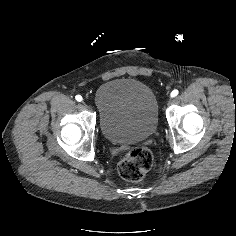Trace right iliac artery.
<instances>
[{
	"label": "right iliac artery",
	"instance_id": "right-iliac-artery-1",
	"mask_svg": "<svg viewBox=\"0 0 236 236\" xmlns=\"http://www.w3.org/2000/svg\"><path fill=\"white\" fill-rule=\"evenodd\" d=\"M75 99L78 101V102H81L83 100L82 96L81 95H76Z\"/></svg>",
	"mask_w": 236,
	"mask_h": 236
}]
</instances>
